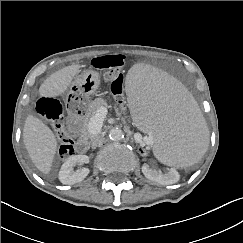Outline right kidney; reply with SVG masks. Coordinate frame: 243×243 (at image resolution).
Returning <instances> with one entry per match:
<instances>
[{
	"mask_svg": "<svg viewBox=\"0 0 243 243\" xmlns=\"http://www.w3.org/2000/svg\"><path fill=\"white\" fill-rule=\"evenodd\" d=\"M89 162L87 155H74L69 157L61 166L59 171V180L65 185H72L81 182L88 174L89 168L83 167L74 171L75 165H82Z\"/></svg>",
	"mask_w": 243,
	"mask_h": 243,
	"instance_id": "1",
	"label": "right kidney"
}]
</instances>
